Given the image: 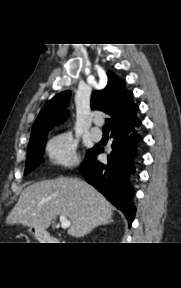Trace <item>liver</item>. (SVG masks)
Returning a JSON list of instances; mask_svg holds the SVG:
<instances>
[{
	"mask_svg": "<svg viewBox=\"0 0 181 288\" xmlns=\"http://www.w3.org/2000/svg\"><path fill=\"white\" fill-rule=\"evenodd\" d=\"M59 215L71 221L68 234L83 237L95 227L109 223L113 207L94 187L77 178H58L33 183L21 193L6 219L45 233Z\"/></svg>",
	"mask_w": 181,
	"mask_h": 288,
	"instance_id": "6515ba94",
	"label": "liver"
}]
</instances>
